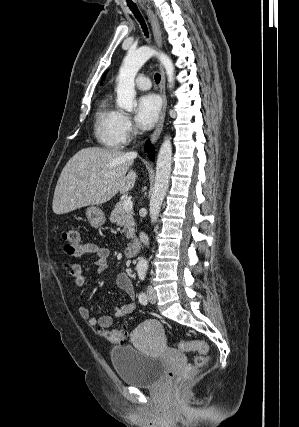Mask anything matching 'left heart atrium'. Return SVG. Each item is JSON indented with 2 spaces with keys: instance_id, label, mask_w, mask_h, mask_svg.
I'll return each mask as SVG.
<instances>
[{
  "instance_id": "39dd6f15",
  "label": "left heart atrium",
  "mask_w": 299,
  "mask_h": 427,
  "mask_svg": "<svg viewBox=\"0 0 299 427\" xmlns=\"http://www.w3.org/2000/svg\"><path fill=\"white\" fill-rule=\"evenodd\" d=\"M160 112V101L154 94H146L138 99L135 120L138 126L148 130L156 123Z\"/></svg>"
}]
</instances>
